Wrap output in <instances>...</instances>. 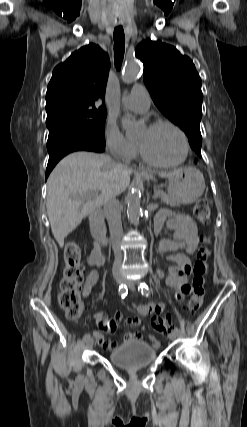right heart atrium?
Instances as JSON below:
<instances>
[{"instance_id":"right-heart-atrium-1","label":"right heart atrium","mask_w":247,"mask_h":427,"mask_svg":"<svg viewBox=\"0 0 247 427\" xmlns=\"http://www.w3.org/2000/svg\"><path fill=\"white\" fill-rule=\"evenodd\" d=\"M104 142L107 150L121 159H130L137 151L136 145L127 139L111 120H108L104 127Z\"/></svg>"}]
</instances>
